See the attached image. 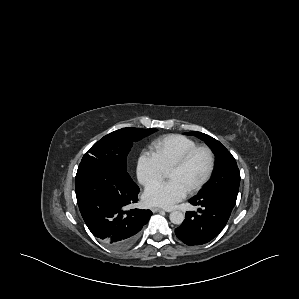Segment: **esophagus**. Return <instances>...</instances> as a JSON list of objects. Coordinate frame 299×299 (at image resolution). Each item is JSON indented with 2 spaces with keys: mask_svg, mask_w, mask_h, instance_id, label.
<instances>
[{
  "mask_svg": "<svg viewBox=\"0 0 299 299\" xmlns=\"http://www.w3.org/2000/svg\"><path fill=\"white\" fill-rule=\"evenodd\" d=\"M151 211H152L153 213H157V212L163 211V209H161V208H157V207H152V208H151Z\"/></svg>",
  "mask_w": 299,
  "mask_h": 299,
  "instance_id": "obj_1",
  "label": "esophagus"
}]
</instances>
